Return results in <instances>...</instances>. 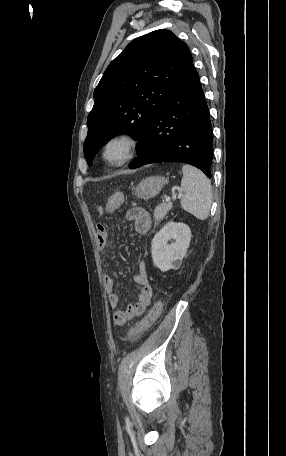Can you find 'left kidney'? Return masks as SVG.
Returning a JSON list of instances; mask_svg holds the SVG:
<instances>
[{
  "label": "left kidney",
  "instance_id": "1",
  "mask_svg": "<svg viewBox=\"0 0 286 456\" xmlns=\"http://www.w3.org/2000/svg\"><path fill=\"white\" fill-rule=\"evenodd\" d=\"M173 239L172 244L168 242ZM191 240V231L184 223L168 222L154 236L151 244L153 263L162 272L178 269L186 255Z\"/></svg>",
  "mask_w": 286,
  "mask_h": 456
}]
</instances>
